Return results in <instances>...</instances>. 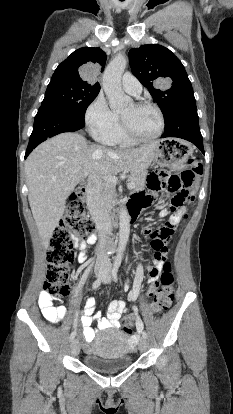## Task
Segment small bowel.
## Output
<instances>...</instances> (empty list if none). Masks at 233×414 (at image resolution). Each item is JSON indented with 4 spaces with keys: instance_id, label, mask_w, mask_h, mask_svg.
I'll return each instance as SVG.
<instances>
[{
    "instance_id": "small-bowel-1",
    "label": "small bowel",
    "mask_w": 233,
    "mask_h": 414,
    "mask_svg": "<svg viewBox=\"0 0 233 414\" xmlns=\"http://www.w3.org/2000/svg\"><path fill=\"white\" fill-rule=\"evenodd\" d=\"M154 196V192H151L149 194L144 193H138L133 196L131 201V208L138 212L146 207L148 203L152 200ZM187 213V208L185 206H182L178 208L170 217L168 227L176 226L180 223V221L183 219V217ZM145 233H148V231L145 229ZM93 241V237H90L87 241H81L78 242L79 247V254H78V261L80 263H83L87 260L88 256V248L89 244H91ZM163 261L162 260H156L155 262V269L159 272L162 269ZM144 276L143 266L142 264L138 265L137 271H136V277L133 287L131 288L129 294H128V300L130 302H134L138 296L139 288L142 283ZM158 279V274H153L152 269L149 271L148 275V283L150 284L149 287V294L152 291V287L154 283ZM56 299H54L50 294H48L46 291H43L39 294L38 297V305L40 308V311L44 318L48 320L51 323H59L63 317L65 316V308L62 305L55 304ZM107 310H104V315L106 317L97 316L96 322L97 327L100 330L110 328V327H118L119 326V319L121 318L122 314L126 310V303L119 299L112 301L109 306L106 308ZM131 310H136V305H131ZM95 311V300L93 298H88L85 302L84 308H83V314L81 316V323H82V335L84 338V341L86 342V345L84 346L85 349H90L88 346V343H90L94 337H95V330L91 327L92 321H93V315ZM138 332H140L141 328L137 327ZM135 340L136 337H133Z\"/></svg>"
}]
</instances>
